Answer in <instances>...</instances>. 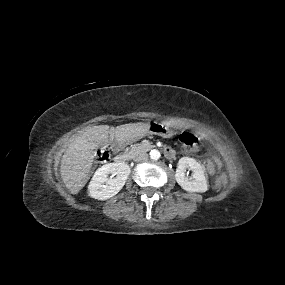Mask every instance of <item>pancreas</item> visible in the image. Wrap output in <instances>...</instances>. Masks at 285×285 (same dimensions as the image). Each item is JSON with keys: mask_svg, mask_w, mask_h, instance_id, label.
<instances>
[{"mask_svg": "<svg viewBox=\"0 0 285 285\" xmlns=\"http://www.w3.org/2000/svg\"><path fill=\"white\" fill-rule=\"evenodd\" d=\"M148 149L147 146H145L142 143H138V144H134L130 147V153H138V152H142V151H146Z\"/></svg>", "mask_w": 285, "mask_h": 285, "instance_id": "obj_1", "label": "pancreas"}]
</instances>
